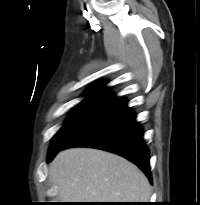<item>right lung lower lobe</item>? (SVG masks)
<instances>
[{"mask_svg":"<svg viewBox=\"0 0 200 205\" xmlns=\"http://www.w3.org/2000/svg\"><path fill=\"white\" fill-rule=\"evenodd\" d=\"M142 127L136 122L127 101L121 99L57 150L49 153L48 161L64 148L84 146L103 149L125 157L143 170L151 181L149 150L142 138Z\"/></svg>","mask_w":200,"mask_h":205,"instance_id":"1","label":"right lung lower lobe"}]
</instances>
